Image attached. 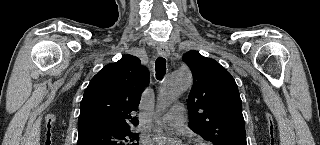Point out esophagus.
<instances>
[{"label": "esophagus", "instance_id": "esophagus-1", "mask_svg": "<svg viewBox=\"0 0 320 145\" xmlns=\"http://www.w3.org/2000/svg\"><path fill=\"white\" fill-rule=\"evenodd\" d=\"M157 52L159 55H161L163 57H168L170 55V51H169L168 47L164 44H159L157 46Z\"/></svg>", "mask_w": 320, "mask_h": 145}]
</instances>
